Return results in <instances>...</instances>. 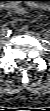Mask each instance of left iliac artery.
Here are the masks:
<instances>
[{"label": "left iliac artery", "instance_id": "left-iliac-artery-1", "mask_svg": "<svg viewBox=\"0 0 50 111\" xmlns=\"http://www.w3.org/2000/svg\"><path fill=\"white\" fill-rule=\"evenodd\" d=\"M43 42L49 43V42H48V41H46V40H43Z\"/></svg>", "mask_w": 50, "mask_h": 111}]
</instances>
